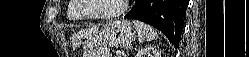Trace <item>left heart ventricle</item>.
<instances>
[{
	"mask_svg": "<svg viewBox=\"0 0 249 57\" xmlns=\"http://www.w3.org/2000/svg\"><path fill=\"white\" fill-rule=\"evenodd\" d=\"M123 0H87L85 11L89 14H107L117 11Z\"/></svg>",
	"mask_w": 249,
	"mask_h": 57,
	"instance_id": "1",
	"label": "left heart ventricle"
}]
</instances>
